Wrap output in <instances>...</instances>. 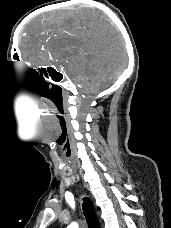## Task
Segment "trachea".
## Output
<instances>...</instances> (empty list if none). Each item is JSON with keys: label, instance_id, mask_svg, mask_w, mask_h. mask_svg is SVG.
Returning a JSON list of instances; mask_svg holds the SVG:
<instances>
[{"label": "trachea", "instance_id": "1", "mask_svg": "<svg viewBox=\"0 0 171 228\" xmlns=\"http://www.w3.org/2000/svg\"><path fill=\"white\" fill-rule=\"evenodd\" d=\"M82 208H83V212H84L88 227L89 228H100L95 209L89 198H84Z\"/></svg>", "mask_w": 171, "mask_h": 228}]
</instances>
